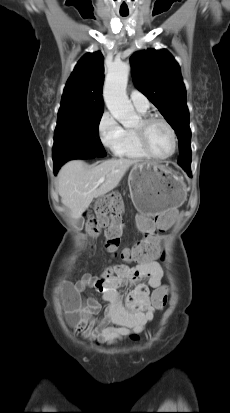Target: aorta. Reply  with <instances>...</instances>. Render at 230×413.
<instances>
[{"mask_svg":"<svg viewBox=\"0 0 230 413\" xmlns=\"http://www.w3.org/2000/svg\"><path fill=\"white\" fill-rule=\"evenodd\" d=\"M129 71L128 63L114 64L107 73L103 89L108 110L124 127L132 126L138 120L134 107L126 94Z\"/></svg>","mask_w":230,"mask_h":413,"instance_id":"1","label":"aorta"}]
</instances>
